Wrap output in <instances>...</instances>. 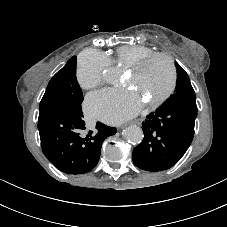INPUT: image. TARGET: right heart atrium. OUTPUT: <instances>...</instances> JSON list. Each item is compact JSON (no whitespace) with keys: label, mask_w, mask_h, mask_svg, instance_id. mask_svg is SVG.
Wrapping results in <instances>:
<instances>
[{"label":"right heart atrium","mask_w":227,"mask_h":227,"mask_svg":"<svg viewBox=\"0 0 227 227\" xmlns=\"http://www.w3.org/2000/svg\"><path fill=\"white\" fill-rule=\"evenodd\" d=\"M109 66L110 61L102 52L93 49L83 51L77 64L78 83L88 90L100 86Z\"/></svg>","instance_id":"d8ad5b80"}]
</instances>
